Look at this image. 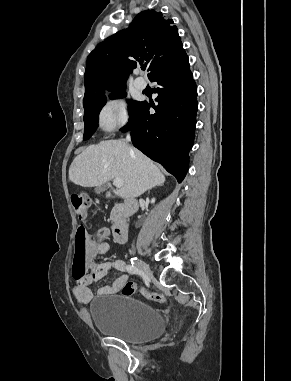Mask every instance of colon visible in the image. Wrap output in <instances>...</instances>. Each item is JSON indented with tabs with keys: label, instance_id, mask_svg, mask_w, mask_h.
Wrapping results in <instances>:
<instances>
[{
	"label": "colon",
	"instance_id": "obj_1",
	"mask_svg": "<svg viewBox=\"0 0 291 381\" xmlns=\"http://www.w3.org/2000/svg\"><path fill=\"white\" fill-rule=\"evenodd\" d=\"M73 208L80 221L85 222L89 218L90 201L83 196H74L72 198ZM87 249H88V232L84 226H80L77 230L75 240V263L78 269L82 272L85 271L87 261ZM138 288L135 283L127 281L121 287V293L123 295H135ZM142 296L148 300L164 303L167 301L166 297L156 292L142 291Z\"/></svg>",
	"mask_w": 291,
	"mask_h": 381
}]
</instances>
